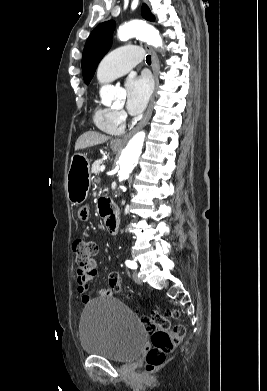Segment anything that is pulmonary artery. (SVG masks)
I'll list each match as a JSON object with an SVG mask.
<instances>
[{"instance_id":"1","label":"pulmonary artery","mask_w":267,"mask_h":391,"mask_svg":"<svg viewBox=\"0 0 267 391\" xmlns=\"http://www.w3.org/2000/svg\"><path fill=\"white\" fill-rule=\"evenodd\" d=\"M143 58L140 47L126 45L108 53L100 62L97 69L99 84L110 82L130 71Z\"/></svg>"}]
</instances>
